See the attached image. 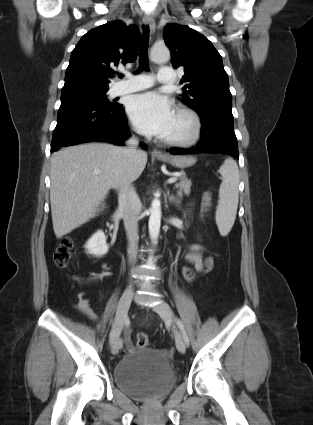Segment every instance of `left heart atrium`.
I'll return each instance as SVG.
<instances>
[{"mask_svg":"<svg viewBox=\"0 0 313 425\" xmlns=\"http://www.w3.org/2000/svg\"><path fill=\"white\" fill-rule=\"evenodd\" d=\"M127 111L140 133L160 137L167 135L175 115L171 102L155 92L131 97Z\"/></svg>","mask_w":313,"mask_h":425,"instance_id":"obj_1","label":"left heart atrium"}]
</instances>
